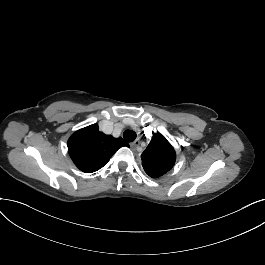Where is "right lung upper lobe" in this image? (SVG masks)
Instances as JSON below:
<instances>
[{"instance_id":"1","label":"right lung upper lobe","mask_w":265,"mask_h":265,"mask_svg":"<svg viewBox=\"0 0 265 265\" xmlns=\"http://www.w3.org/2000/svg\"><path fill=\"white\" fill-rule=\"evenodd\" d=\"M128 144L100 132L97 124L76 131L68 140V153L74 164L85 173H92L107 164L111 156Z\"/></svg>"}]
</instances>
